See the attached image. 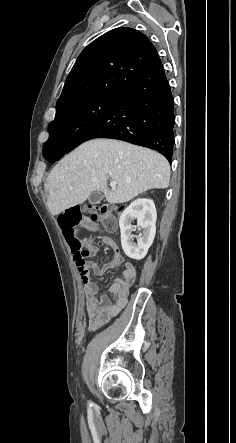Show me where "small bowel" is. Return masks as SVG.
Here are the masks:
<instances>
[{
  "instance_id": "obj_1",
  "label": "small bowel",
  "mask_w": 236,
  "mask_h": 443,
  "mask_svg": "<svg viewBox=\"0 0 236 443\" xmlns=\"http://www.w3.org/2000/svg\"><path fill=\"white\" fill-rule=\"evenodd\" d=\"M102 242L115 247V242L105 236ZM91 254H96L97 246L91 240L87 242ZM83 286L85 308L88 317V325L91 331L97 330L114 317L127 303L132 285L136 280L137 269L135 265L126 259L124 254L116 249L114 257L106 263L86 262L83 265L75 263ZM124 267L122 277H115L109 287L110 295H98L99 287L93 282L92 275L102 276L107 271Z\"/></svg>"
}]
</instances>
